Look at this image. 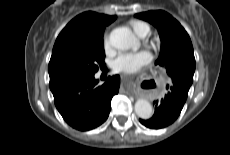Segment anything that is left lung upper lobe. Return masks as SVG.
<instances>
[{"label":"left lung upper lobe","mask_w":230,"mask_h":155,"mask_svg":"<svg viewBox=\"0 0 230 155\" xmlns=\"http://www.w3.org/2000/svg\"><path fill=\"white\" fill-rule=\"evenodd\" d=\"M135 16L148 21L158 29L161 51L156 64L166 67L172 79L192 84L195 71L193 46L181 24L162 10L138 13Z\"/></svg>","instance_id":"1"}]
</instances>
